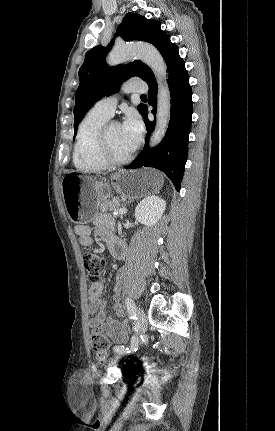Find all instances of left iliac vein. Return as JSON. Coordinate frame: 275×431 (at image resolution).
I'll return each instance as SVG.
<instances>
[{
    "mask_svg": "<svg viewBox=\"0 0 275 431\" xmlns=\"http://www.w3.org/2000/svg\"><path fill=\"white\" fill-rule=\"evenodd\" d=\"M136 315H137V327L140 333H145L147 328V319L146 314L144 310L141 307H137L136 309ZM121 354H117L116 357H121Z\"/></svg>",
    "mask_w": 275,
    "mask_h": 431,
    "instance_id": "1",
    "label": "left iliac vein"
}]
</instances>
